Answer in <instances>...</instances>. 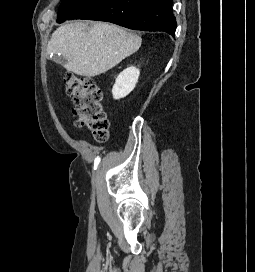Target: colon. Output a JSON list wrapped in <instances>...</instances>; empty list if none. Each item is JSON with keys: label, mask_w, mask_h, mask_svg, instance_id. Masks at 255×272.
Wrapping results in <instances>:
<instances>
[{"label": "colon", "mask_w": 255, "mask_h": 272, "mask_svg": "<svg viewBox=\"0 0 255 272\" xmlns=\"http://www.w3.org/2000/svg\"><path fill=\"white\" fill-rule=\"evenodd\" d=\"M64 82L65 91L73 100L75 126L88 129L97 141H106L109 136V119L101 90L90 78L72 73L65 74Z\"/></svg>", "instance_id": "obj_1"}]
</instances>
